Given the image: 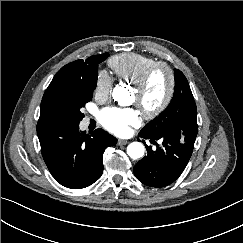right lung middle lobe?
Here are the masks:
<instances>
[{
    "label": "right lung middle lobe",
    "instance_id": "dd1d6c3e",
    "mask_svg": "<svg viewBox=\"0 0 243 243\" xmlns=\"http://www.w3.org/2000/svg\"><path fill=\"white\" fill-rule=\"evenodd\" d=\"M109 56L102 54L98 64ZM97 75L87 82H68L53 86L45 91L40 109V119L45 123L79 124L84 114L80 109L92 99Z\"/></svg>",
    "mask_w": 243,
    "mask_h": 243
}]
</instances>
